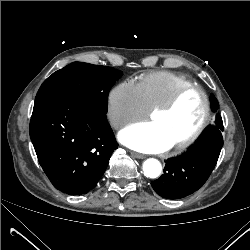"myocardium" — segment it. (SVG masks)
I'll use <instances>...</instances> for the list:
<instances>
[{
    "label": "myocardium",
    "mask_w": 250,
    "mask_h": 250,
    "mask_svg": "<svg viewBox=\"0 0 250 250\" xmlns=\"http://www.w3.org/2000/svg\"><path fill=\"white\" fill-rule=\"evenodd\" d=\"M191 91L198 92L203 99V104H204L203 117L200 124L191 135L172 145L173 148L177 150H181L192 145L206 129L211 116V102L207 93L204 91L203 88L195 84L181 87L164 104L152 109L150 114V117H153L155 115H162L170 112L178 104L181 98L185 94Z\"/></svg>",
    "instance_id": "1"
}]
</instances>
